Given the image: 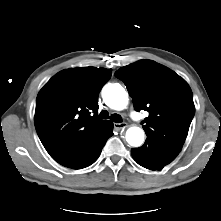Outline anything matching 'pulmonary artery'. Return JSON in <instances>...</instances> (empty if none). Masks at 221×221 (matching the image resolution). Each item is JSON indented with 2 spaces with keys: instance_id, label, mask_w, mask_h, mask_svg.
Masks as SVG:
<instances>
[{
  "instance_id": "obj_1",
  "label": "pulmonary artery",
  "mask_w": 221,
  "mask_h": 221,
  "mask_svg": "<svg viewBox=\"0 0 221 221\" xmlns=\"http://www.w3.org/2000/svg\"><path fill=\"white\" fill-rule=\"evenodd\" d=\"M131 116H132V117H135V112H132V113H131Z\"/></svg>"
}]
</instances>
